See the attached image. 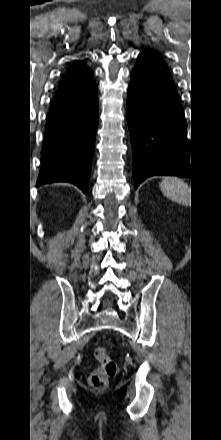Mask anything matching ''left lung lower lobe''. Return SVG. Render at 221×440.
Segmentation results:
<instances>
[{
    "label": "left lung lower lobe",
    "instance_id": "obj_1",
    "mask_svg": "<svg viewBox=\"0 0 221 440\" xmlns=\"http://www.w3.org/2000/svg\"><path fill=\"white\" fill-rule=\"evenodd\" d=\"M127 121L133 152L135 189L148 177L193 178L184 111L164 60L142 51L131 72Z\"/></svg>",
    "mask_w": 221,
    "mask_h": 440
}]
</instances>
